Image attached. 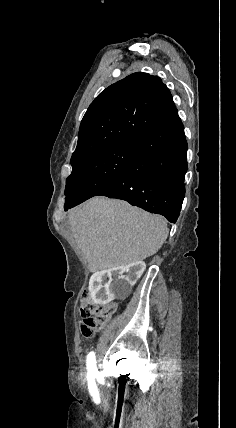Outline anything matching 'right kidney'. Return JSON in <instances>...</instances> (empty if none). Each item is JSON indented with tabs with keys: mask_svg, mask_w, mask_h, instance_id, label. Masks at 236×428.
Masks as SVG:
<instances>
[{
	"mask_svg": "<svg viewBox=\"0 0 236 428\" xmlns=\"http://www.w3.org/2000/svg\"><path fill=\"white\" fill-rule=\"evenodd\" d=\"M146 264L143 260L116 269H97L89 282V292L94 304L109 306L111 301L131 299V288L141 278ZM111 284H110V282Z\"/></svg>",
	"mask_w": 236,
	"mask_h": 428,
	"instance_id": "right-kidney-1",
	"label": "right kidney"
}]
</instances>
